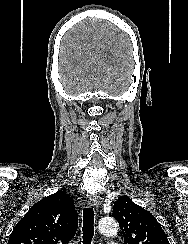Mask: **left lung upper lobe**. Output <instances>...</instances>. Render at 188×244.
<instances>
[{"label":"left lung upper lobe","instance_id":"5c2ea615","mask_svg":"<svg viewBox=\"0 0 188 244\" xmlns=\"http://www.w3.org/2000/svg\"><path fill=\"white\" fill-rule=\"evenodd\" d=\"M112 216L119 223L125 244H170L155 217L128 196L114 202Z\"/></svg>","mask_w":188,"mask_h":244}]
</instances>
